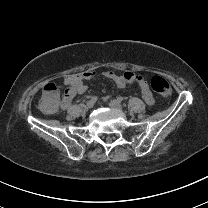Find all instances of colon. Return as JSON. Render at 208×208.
Wrapping results in <instances>:
<instances>
[{
  "label": "colon",
  "instance_id": "5ec220e1",
  "mask_svg": "<svg viewBox=\"0 0 208 208\" xmlns=\"http://www.w3.org/2000/svg\"><path fill=\"white\" fill-rule=\"evenodd\" d=\"M150 84L157 95L164 98L171 96V87L165 78L155 76L151 79ZM43 93L44 99L39 103L40 108L50 113L56 111L60 102L59 98L61 93L58 85L52 82L46 84Z\"/></svg>",
  "mask_w": 208,
  "mask_h": 208
}]
</instances>
